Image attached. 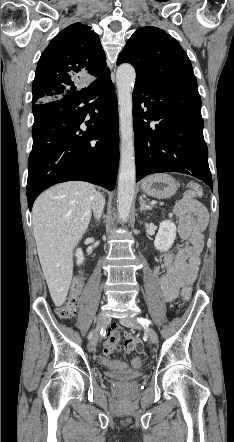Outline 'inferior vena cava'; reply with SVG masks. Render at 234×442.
<instances>
[{"mask_svg": "<svg viewBox=\"0 0 234 442\" xmlns=\"http://www.w3.org/2000/svg\"><path fill=\"white\" fill-rule=\"evenodd\" d=\"M105 206V198L99 192L92 196V210L96 219H100Z\"/></svg>", "mask_w": 234, "mask_h": 442, "instance_id": "inferior-vena-cava-1", "label": "inferior vena cava"}]
</instances>
